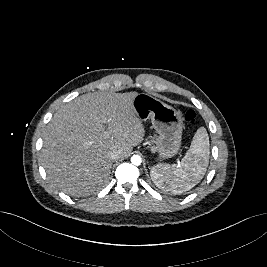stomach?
<instances>
[{
  "label": "stomach",
  "mask_w": 267,
  "mask_h": 267,
  "mask_svg": "<svg viewBox=\"0 0 267 267\" xmlns=\"http://www.w3.org/2000/svg\"><path fill=\"white\" fill-rule=\"evenodd\" d=\"M141 122L150 120L159 134L155 144L160 160L175 156L181 146L183 120L171 106L148 94H138L132 102Z\"/></svg>",
  "instance_id": "1"
}]
</instances>
